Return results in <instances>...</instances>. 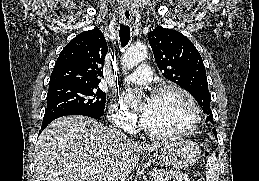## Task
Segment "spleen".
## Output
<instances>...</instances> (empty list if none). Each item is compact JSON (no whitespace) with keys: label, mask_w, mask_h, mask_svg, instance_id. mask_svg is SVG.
<instances>
[{"label":"spleen","mask_w":259,"mask_h":181,"mask_svg":"<svg viewBox=\"0 0 259 181\" xmlns=\"http://www.w3.org/2000/svg\"><path fill=\"white\" fill-rule=\"evenodd\" d=\"M219 162L215 154H211L206 163V178L207 181H220L219 180Z\"/></svg>","instance_id":"3e777b00"}]
</instances>
